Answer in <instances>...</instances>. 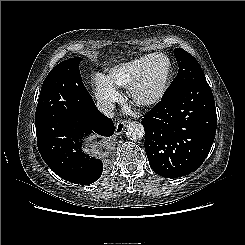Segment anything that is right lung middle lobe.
Wrapping results in <instances>:
<instances>
[{"label":"right lung middle lobe","mask_w":245,"mask_h":245,"mask_svg":"<svg viewBox=\"0 0 245 245\" xmlns=\"http://www.w3.org/2000/svg\"><path fill=\"white\" fill-rule=\"evenodd\" d=\"M81 60L74 57L63 61L47 75L40 91L35 120L88 115L93 100L82 82Z\"/></svg>","instance_id":"right-lung-middle-lobe-1"}]
</instances>
